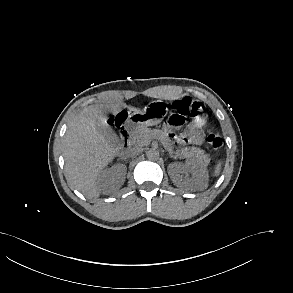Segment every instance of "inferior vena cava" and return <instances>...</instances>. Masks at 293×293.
<instances>
[{
	"label": "inferior vena cava",
	"mask_w": 293,
	"mask_h": 293,
	"mask_svg": "<svg viewBox=\"0 0 293 293\" xmlns=\"http://www.w3.org/2000/svg\"><path fill=\"white\" fill-rule=\"evenodd\" d=\"M139 153H140V148L134 147V148H130V149L125 150L122 153V156H123L124 159H126V158L135 157Z\"/></svg>",
	"instance_id": "602c4592"
}]
</instances>
